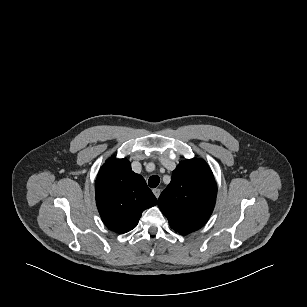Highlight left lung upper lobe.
Masks as SVG:
<instances>
[{
	"instance_id": "obj_1",
	"label": "left lung upper lobe",
	"mask_w": 307,
	"mask_h": 307,
	"mask_svg": "<svg viewBox=\"0 0 307 307\" xmlns=\"http://www.w3.org/2000/svg\"><path fill=\"white\" fill-rule=\"evenodd\" d=\"M217 195V185L202 159L181 161L161 193L158 206L169 225L182 235L201 228L209 219Z\"/></svg>"
}]
</instances>
